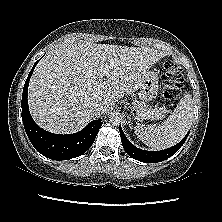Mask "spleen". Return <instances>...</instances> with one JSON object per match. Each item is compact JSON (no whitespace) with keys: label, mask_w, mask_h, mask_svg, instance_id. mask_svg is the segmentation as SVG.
<instances>
[{"label":"spleen","mask_w":222,"mask_h":222,"mask_svg":"<svg viewBox=\"0 0 222 222\" xmlns=\"http://www.w3.org/2000/svg\"><path fill=\"white\" fill-rule=\"evenodd\" d=\"M193 121V101L190 94L184 95L174 112L159 125L135 127L138 138L152 149H165L180 142Z\"/></svg>","instance_id":"obj_1"}]
</instances>
